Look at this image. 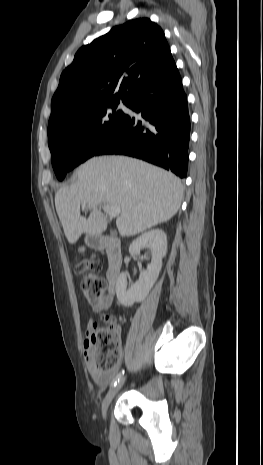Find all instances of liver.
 Segmentation results:
<instances>
[{
  "instance_id": "liver-1",
  "label": "liver",
  "mask_w": 263,
  "mask_h": 465,
  "mask_svg": "<svg viewBox=\"0 0 263 465\" xmlns=\"http://www.w3.org/2000/svg\"><path fill=\"white\" fill-rule=\"evenodd\" d=\"M75 174V183L55 194L56 211L70 244L83 233L100 235L107 229L101 205L120 206L116 226L122 237L170 220L181 206V180L135 158L94 157L80 165ZM82 204L90 211L88 218L80 215Z\"/></svg>"
}]
</instances>
